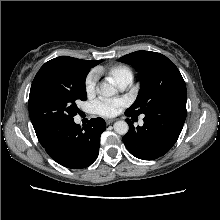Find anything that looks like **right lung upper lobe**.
<instances>
[{"label":"right lung upper lobe","instance_id":"right-lung-upper-lobe-1","mask_svg":"<svg viewBox=\"0 0 220 220\" xmlns=\"http://www.w3.org/2000/svg\"><path fill=\"white\" fill-rule=\"evenodd\" d=\"M52 60L73 63V64L82 65V66H88L90 68H92V67L96 66L97 64H99L98 63L99 60L87 61V60H81V59L68 57V56H60V57L54 58Z\"/></svg>","mask_w":220,"mask_h":220}]
</instances>
